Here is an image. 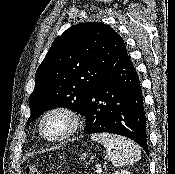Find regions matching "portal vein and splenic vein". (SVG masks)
<instances>
[{"label": "portal vein and splenic vein", "mask_w": 175, "mask_h": 174, "mask_svg": "<svg viewBox=\"0 0 175 174\" xmlns=\"http://www.w3.org/2000/svg\"><path fill=\"white\" fill-rule=\"evenodd\" d=\"M101 172H102V169H101L100 166H98V167L96 168V173H97V174H100Z\"/></svg>", "instance_id": "obj_1"}]
</instances>
